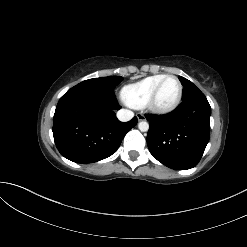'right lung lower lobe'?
I'll return each mask as SVG.
<instances>
[{"label": "right lung lower lobe", "mask_w": 247, "mask_h": 247, "mask_svg": "<svg viewBox=\"0 0 247 247\" xmlns=\"http://www.w3.org/2000/svg\"><path fill=\"white\" fill-rule=\"evenodd\" d=\"M113 90L95 86H74L59 100L53 125L57 149L76 163H93L111 156L126 133L137 124L134 117L120 122V109Z\"/></svg>", "instance_id": "right-lung-lower-lobe-1"}]
</instances>
